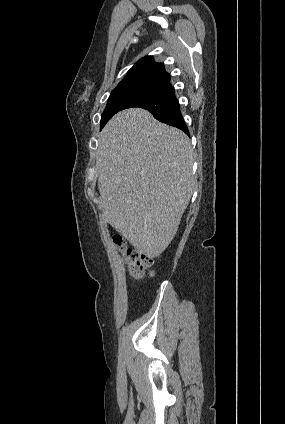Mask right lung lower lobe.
<instances>
[{
    "label": "right lung lower lobe",
    "instance_id": "right-lung-lower-lobe-1",
    "mask_svg": "<svg viewBox=\"0 0 285 424\" xmlns=\"http://www.w3.org/2000/svg\"><path fill=\"white\" fill-rule=\"evenodd\" d=\"M133 107L146 109L160 122L177 127L189 135L174 88L170 83L150 95L134 100L126 108Z\"/></svg>",
    "mask_w": 285,
    "mask_h": 424
}]
</instances>
